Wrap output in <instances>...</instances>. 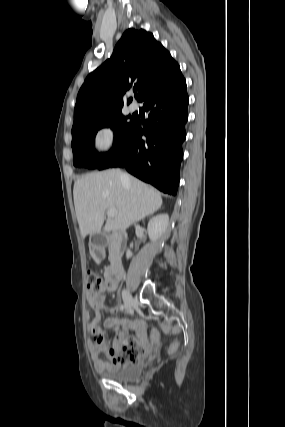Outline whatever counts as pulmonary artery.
<instances>
[{
    "label": "pulmonary artery",
    "mask_w": 285,
    "mask_h": 427,
    "mask_svg": "<svg viewBox=\"0 0 285 427\" xmlns=\"http://www.w3.org/2000/svg\"><path fill=\"white\" fill-rule=\"evenodd\" d=\"M137 109H138V105H137V103H135V102L130 103V105H129V110H130L131 112H135Z\"/></svg>",
    "instance_id": "1"
}]
</instances>
